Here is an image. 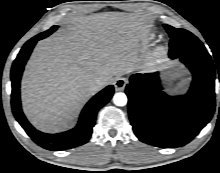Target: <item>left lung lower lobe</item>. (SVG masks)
<instances>
[{
	"label": "left lung lower lobe",
	"mask_w": 220,
	"mask_h": 173,
	"mask_svg": "<svg viewBox=\"0 0 220 173\" xmlns=\"http://www.w3.org/2000/svg\"><path fill=\"white\" fill-rule=\"evenodd\" d=\"M169 56L175 58L172 52ZM178 58L193 74L186 95H166L158 73L132 75L126 86L134 133L142 142L156 147L184 146L206 126L214 113L215 67L210 55L182 54Z\"/></svg>",
	"instance_id": "1"
}]
</instances>
